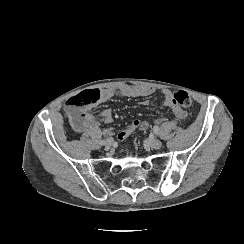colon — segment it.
I'll list each match as a JSON object with an SVG mask.
<instances>
[{
    "mask_svg": "<svg viewBox=\"0 0 244 244\" xmlns=\"http://www.w3.org/2000/svg\"><path fill=\"white\" fill-rule=\"evenodd\" d=\"M172 103L179 107L188 108L192 106L193 100L190 94L184 90L176 91L173 94ZM67 112L70 115L72 124L74 128L85 127L89 121V117L85 114L84 108L81 105H72L69 101L67 103ZM138 127V122L134 121L133 125L128 129V131H123L119 133L118 139L123 140L124 137L129 136Z\"/></svg>",
    "mask_w": 244,
    "mask_h": 244,
    "instance_id": "1",
    "label": "colon"
}]
</instances>
